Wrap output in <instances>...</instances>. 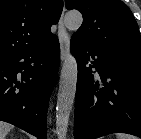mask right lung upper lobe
I'll use <instances>...</instances> for the list:
<instances>
[{
    "label": "right lung upper lobe",
    "instance_id": "1",
    "mask_svg": "<svg viewBox=\"0 0 141 139\" xmlns=\"http://www.w3.org/2000/svg\"><path fill=\"white\" fill-rule=\"evenodd\" d=\"M62 0H0V58L49 41Z\"/></svg>",
    "mask_w": 141,
    "mask_h": 139
}]
</instances>
